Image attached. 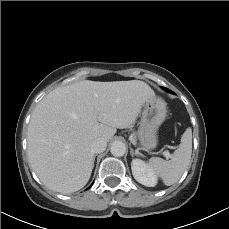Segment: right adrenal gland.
<instances>
[{
  "mask_svg": "<svg viewBox=\"0 0 229 229\" xmlns=\"http://www.w3.org/2000/svg\"><path fill=\"white\" fill-rule=\"evenodd\" d=\"M97 156V154L96 155H94V157H93V160H95V157Z\"/></svg>",
  "mask_w": 229,
  "mask_h": 229,
  "instance_id": "obj_1",
  "label": "right adrenal gland"
}]
</instances>
